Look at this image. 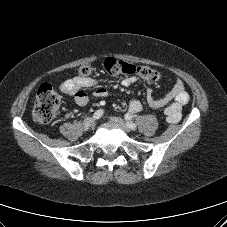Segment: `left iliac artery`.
Returning <instances> with one entry per match:
<instances>
[{"mask_svg": "<svg viewBox=\"0 0 227 227\" xmlns=\"http://www.w3.org/2000/svg\"><path fill=\"white\" fill-rule=\"evenodd\" d=\"M126 125L131 129V130H135L137 128L136 124L133 122H126Z\"/></svg>", "mask_w": 227, "mask_h": 227, "instance_id": "left-iliac-artery-1", "label": "left iliac artery"}]
</instances>
